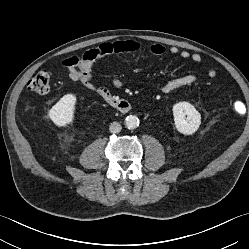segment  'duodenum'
Instances as JSON below:
<instances>
[{
    "label": "duodenum",
    "instance_id": "duodenum-1",
    "mask_svg": "<svg viewBox=\"0 0 249 249\" xmlns=\"http://www.w3.org/2000/svg\"><path fill=\"white\" fill-rule=\"evenodd\" d=\"M102 97L109 105L121 113L129 112L132 107L128 100L120 98L110 92L104 93Z\"/></svg>",
    "mask_w": 249,
    "mask_h": 249
}]
</instances>
